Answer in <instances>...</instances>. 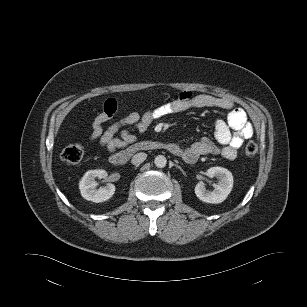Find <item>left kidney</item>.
Instances as JSON below:
<instances>
[{"mask_svg":"<svg viewBox=\"0 0 307 307\" xmlns=\"http://www.w3.org/2000/svg\"><path fill=\"white\" fill-rule=\"evenodd\" d=\"M208 177H216L218 182L213 185L212 191L206 190L204 183L199 182L195 187L196 196L203 202L218 204L223 202L233 187L232 173L223 167H211L207 170Z\"/></svg>","mask_w":307,"mask_h":307,"instance_id":"obj_1","label":"left kidney"}]
</instances>
